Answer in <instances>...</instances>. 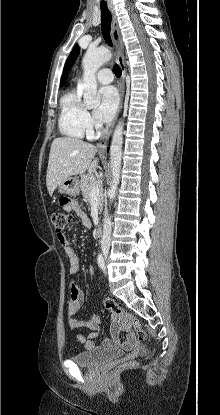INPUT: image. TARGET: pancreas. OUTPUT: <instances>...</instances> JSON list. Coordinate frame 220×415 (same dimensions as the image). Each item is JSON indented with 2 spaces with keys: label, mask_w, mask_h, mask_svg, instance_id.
I'll list each match as a JSON object with an SVG mask.
<instances>
[{
  "label": "pancreas",
  "mask_w": 220,
  "mask_h": 415,
  "mask_svg": "<svg viewBox=\"0 0 220 415\" xmlns=\"http://www.w3.org/2000/svg\"><path fill=\"white\" fill-rule=\"evenodd\" d=\"M98 180L92 174L81 175V190L82 195L88 201L91 200L90 192L92 188L97 184ZM104 194L101 191L98 195V209L101 211L103 208Z\"/></svg>",
  "instance_id": "obj_1"
}]
</instances>
